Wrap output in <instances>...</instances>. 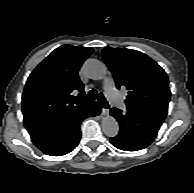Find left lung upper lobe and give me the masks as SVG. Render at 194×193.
<instances>
[{"label": "left lung upper lobe", "instance_id": "obj_1", "mask_svg": "<svg viewBox=\"0 0 194 193\" xmlns=\"http://www.w3.org/2000/svg\"><path fill=\"white\" fill-rule=\"evenodd\" d=\"M102 57L117 88L128 90L127 110L164 122L171 92L165 71L146 54L126 48H104Z\"/></svg>", "mask_w": 194, "mask_h": 193}]
</instances>
